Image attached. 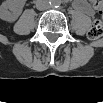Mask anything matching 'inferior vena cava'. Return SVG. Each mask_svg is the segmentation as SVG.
Returning a JSON list of instances; mask_svg holds the SVG:
<instances>
[{
  "label": "inferior vena cava",
  "mask_w": 103,
  "mask_h": 103,
  "mask_svg": "<svg viewBox=\"0 0 103 103\" xmlns=\"http://www.w3.org/2000/svg\"><path fill=\"white\" fill-rule=\"evenodd\" d=\"M50 5L49 2L47 0H38L36 2V8L40 11H44L49 9Z\"/></svg>",
  "instance_id": "obj_1"
}]
</instances>
